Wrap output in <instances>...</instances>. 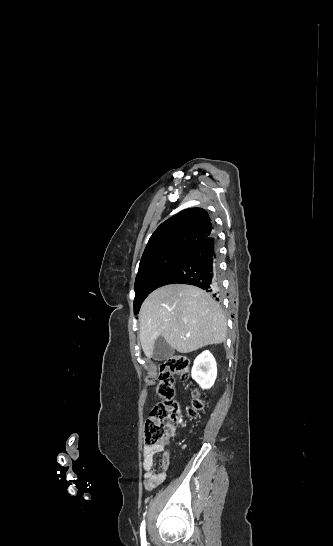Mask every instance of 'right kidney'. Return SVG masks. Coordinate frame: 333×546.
Returning a JSON list of instances; mask_svg holds the SVG:
<instances>
[{"mask_svg": "<svg viewBox=\"0 0 333 546\" xmlns=\"http://www.w3.org/2000/svg\"><path fill=\"white\" fill-rule=\"evenodd\" d=\"M217 376L216 361L209 351L199 354L192 367V378L203 389H210Z\"/></svg>", "mask_w": 333, "mask_h": 546, "instance_id": "ca27d5eb", "label": "right kidney"}]
</instances>
